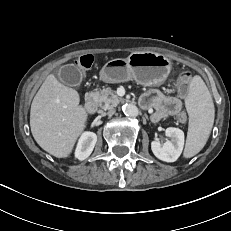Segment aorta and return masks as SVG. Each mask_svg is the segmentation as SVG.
I'll return each mask as SVG.
<instances>
[{
    "label": "aorta",
    "mask_w": 231,
    "mask_h": 231,
    "mask_svg": "<svg viewBox=\"0 0 231 231\" xmlns=\"http://www.w3.org/2000/svg\"><path fill=\"white\" fill-rule=\"evenodd\" d=\"M122 111L124 112L125 115L130 117H136L139 113V110L135 105L128 104V103L122 106Z\"/></svg>",
    "instance_id": "762f6f07"
}]
</instances>
